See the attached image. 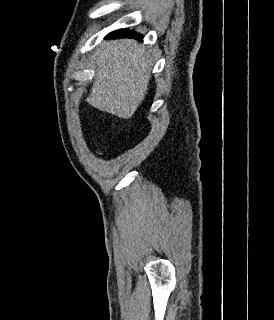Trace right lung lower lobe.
I'll return each instance as SVG.
<instances>
[{
    "mask_svg": "<svg viewBox=\"0 0 274 320\" xmlns=\"http://www.w3.org/2000/svg\"><path fill=\"white\" fill-rule=\"evenodd\" d=\"M123 37H133L138 40L142 38L140 34H137L129 30H124V29L114 31L107 36V38H123Z\"/></svg>",
    "mask_w": 274,
    "mask_h": 320,
    "instance_id": "right-lung-lower-lobe-1",
    "label": "right lung lower lobe"
}]
</instances>
